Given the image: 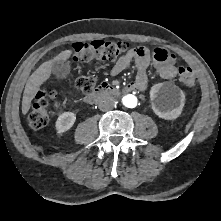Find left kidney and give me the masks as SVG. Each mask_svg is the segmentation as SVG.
Listing matches in <instances>:
<instances>
[{
  "label": "left kidney",
  "instance_id": "5707ae66",
  "mask_svg": "<svg viewBox=\"0 0 221 221\" xmlns=\"http://www.w3.org/2000/svg\"><path fill=\"white\" fill-rule=\"evenodd\" d=\"M154 113L165 120L178 118L183 110L185 94L176 85L164 82L154 85L150 90Z\"/></svg>",
  "mask_w": 221,
  "mask_h": 221
}]
</instances>
